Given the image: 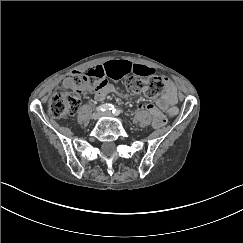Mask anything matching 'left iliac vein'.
<instances>
[{
    "instance_id": "left-iliac-vein-1",
    "label": "left iliac vein",
    "mask_w": 243,
    "mask_h": 243,
    "mask_svg": "<svg viewBox=\"0 0 243 243\" xmlns=\"http://www.w3.org/2000/svg\"><path fill=\"white\" fill-rule=\"evenodd\" d=\"M111 115H112V114H111V112H109V111H106V112L102 113V116L110 117Z\"/></svg>"
}]
</instances>
